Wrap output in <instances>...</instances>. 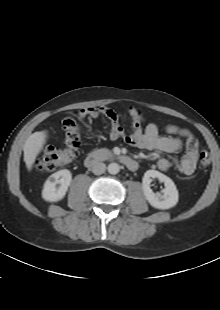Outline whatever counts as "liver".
Segmentation results:
<instances>
[{
  "instance_id": "liver-1",
  "label": "liver",
  "mask_w": 220,
  "mask_h": 310,
  "mask_svg": "<svg viewBox=\"0 0 220 310\" xmlns=\"http://www.w3.org/2000/svg\"><path fill=\"white\" fill-rule=\"evenodd\" d=\"M47 140V131H39L31 134L24 145V162L28 171L32 170L33 164Z\"/></svg>"
}]
</instances>
